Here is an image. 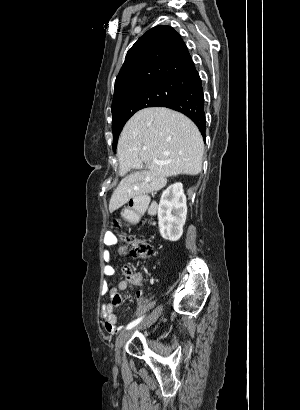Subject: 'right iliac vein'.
I'll return each mask as SVG.
<instances>
[{
    "instance_id": "63e3f726",
    "label": "right iliac vein",
    "mask_w": 300,
    "mask_h": 410,
    "mask_svg": "<svg viewBox=\"0 0 300 410\" xmlns=\"http://www.w3.org/2000/svg\"><path fill=\"white\" fill-rule=\"evenodd\" d=\"M161 312H162V307L159 306V307H157V308L148 316V318H147L143 323H141L138 327H136V328H134V329H132V330L126 331V332H122V333L117 337V339H116V344H115V347H116V352H115L116 358H119V353H120L121 347L124 345V343L126 342V340L131 336V334L133 333V331H134V330H137V329H144V328L150 327V326L158 319V317L161 315Z\"/></svg>"
}]
</instances>
